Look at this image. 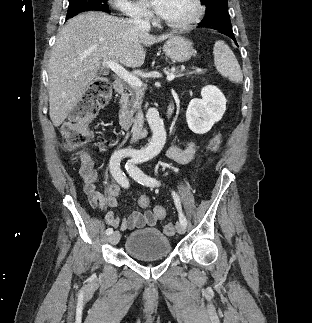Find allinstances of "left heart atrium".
Instances as JSON below:
<instances>
[{
  "label": "left heart atrium",
  "instance_id": "left-heart-atrium-1",
  "mask_svg": "<svg viewBox=\"0 0 312 323\" xmlns=\"http://www.w3.org/2000/svg\"><path fill=\"white\" fill-rule=\"evenodd\" d=\"M164 0H146L147 8H158L159 12H169L170 6L163 5Z\"/></svg>",
  "mask_w": 312,
  "mask_h": 323
}]
</instances>
